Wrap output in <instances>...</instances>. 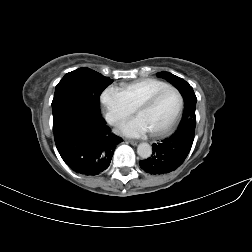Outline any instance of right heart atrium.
<instances>
[{
  "instance_id": "obj_1",
  "label": "right heart atrium",
  "mask_w": 252,
  "mask_h": 252,
  "mask_svg": "<svg viewBox=\"0 0 252 252\" xmlns=\"http://www.w3.org/2000/svg\"><path fill=\"white\" fill-rule=\"evenodd\" d=\"M107 121L114 126L124 122L134 111L122 92L114 87L105 89L100 97Z\"/></svg>"
}]
</instances>
